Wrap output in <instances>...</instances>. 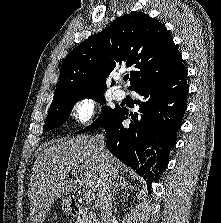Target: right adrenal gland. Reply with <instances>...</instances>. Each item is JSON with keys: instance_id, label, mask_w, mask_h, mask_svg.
<instances>
[{"instance_id": "obj_1", "label": "right adrenal gland", "mask_w": 221, "mask_h": 223, "mask_svg": "<svg viewBox=\"0 0 221 223\" xmlns=\"http://www.w3.org/2000/svg\"><path fill=\"white\" fill-rule=\"evenodd\" d=\"M127 188H133V186L125 180V178H120L116 180L114 183V190H113V203L116 204V195L120 190H126Z\"/></svg>"}]
</instances>
